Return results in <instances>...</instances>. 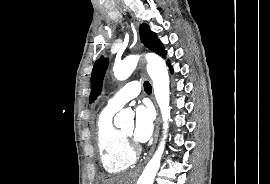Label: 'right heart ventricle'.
<instances>
[{"label":"right heart ventricle","instance_id":"e07e8e85","mask_svg":"<svg viewBox=\"0 0 270 184\" xmlns=\"http://www.w3.org/2000/svg\"><path fill=\"white\" fill-rule=\"evenodd\" d=\"M114 113L115 110L105 107L99 114L96 124V142L100 160L104 169L111 174L126 170L136 159L122 132L112 123Z\"/></svg>","mask_w":270,"mask_h":184}]
</instances>
